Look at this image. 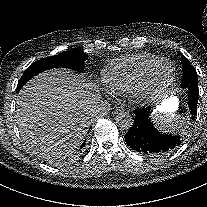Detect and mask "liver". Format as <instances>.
I'll list each match as a JSON object with an SVG mask.
<instances>
[{"instance_id":"liver-1","label":"liver","mask_w":207,"mask_h":207,"mask_svg":"<svg viewBox=\"0 0 207 207\" xmlns=\"http://www.w3.org/2000/svg\"><path fill=\"white\" fill-rule=\"evenodd\" d=\"M94 91L82 75L67 69L31 79L16 100L15 119L28 148L65 155L79 147L96 114Z\"/></svg>"}]
</instances>
